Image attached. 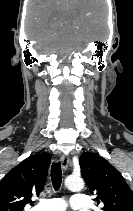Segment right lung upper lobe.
<instances>
[{"label": "right lung upper lobe", "mask_w": 133, "mask_h": 211, "mask_svg": "<svg viewBox=\"0 0 133 211\" xmlns=\"http://www.w3.org/2000/svg\"><path fill=\"white\" fill-rule=\"evenodd\" d=\"M50 155H32L14 167L0 182V211H23L33 204L47 179Z\"/></svg>", "instance_id": "right-lung-upper-lobe-1"}]
</instances>
